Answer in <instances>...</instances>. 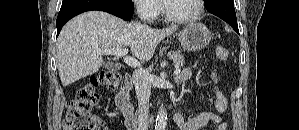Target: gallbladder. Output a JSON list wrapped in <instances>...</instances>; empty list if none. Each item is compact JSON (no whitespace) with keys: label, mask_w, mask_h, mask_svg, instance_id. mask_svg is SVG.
Returning <instances> with one entry per match:
<instances>
[{"label":"gallbladder","mask_w":299,"mask_h":130,"mask_svg":"<svg viewBox=\"0 0 299 130\" xmlns=\"http://www.w3.org/2000/svg\"><path fill=\"white\" fill-rule=\"evenodd\" d=\"M103 67L109 70L117 68L116 64L110 62L104 63Z\"/></svg>","instance_id":"1"}]
</instances>
